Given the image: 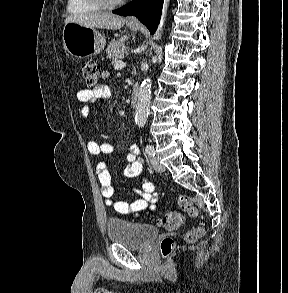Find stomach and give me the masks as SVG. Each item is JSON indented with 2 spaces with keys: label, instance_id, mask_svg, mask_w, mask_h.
<instances>
[{
  "label": "stomach",
  "instance_id": "1",
  "mask_svg": "<svg viewBox=\"0 0 288 293\" xmlns=\"http://www.w3.org/2000/svg\"><path fill=\"white\" fill-rule=\"evenodd\" d=\"M132 31L138 26L129 24ZM63 44L68 54L76 58H86L99 54L105 47V38L95 28L86 27L77 22L65 24L63 29Z\"/></svg>",
  "mask_w": 288,
  "mask_h": 293
}]
</instances>
